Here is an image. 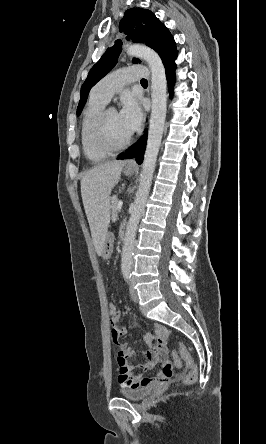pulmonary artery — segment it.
Listing matches in <instances>:
<instances>
[{
    "label": "pulmonary artery",
    "mask_w": 266,
    "mask_h": 444,
    "mask_svg": "<svg viewBox=\"0 0 266 444\" xmlns=\"http://www.w3.org/2000/svg\"><path fill=\"white\" fill-rule=\"evenodd\" d=\"M148 76L149 71L146 66L121 67L101 79L93 88L92 94L109 102L112 96L128 83Z\"/></svg>",
    "instance_id": "1"
}]
</instances>
